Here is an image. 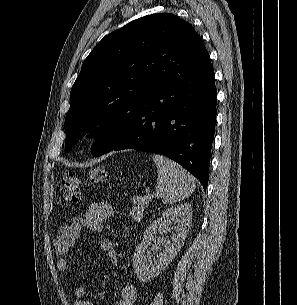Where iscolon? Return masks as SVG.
<instances>
[{
  "instance_id": "1",
  "label": "colon",
  "mask_w": 297,
  "mask_h": 305,
  "mask_svg": "<svg viewBox=\"0 0 297 305\" xmlns=\"http://www.w3.org/2000/svg\"><path fill=\"white\" fill-rule=\"evenodd\" d=\"M107 180V172L103 166L92 168L85 176L69 172L62 180L61 194L69 203H77L81 199L80 188L83 184H98Z\"/></svg>"
}]
</instances>
